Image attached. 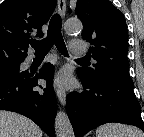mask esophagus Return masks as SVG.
Masks as SVG:
<instances>
[{"instance_id": "1", "label": "esophagus", "mask_w": 144, "mask_h": 137, "mask_svg": "<svg viewBox=\"0 0 144 137\" xmlns=\"http://www.w3.org/2000/svg\"><path fill=\"white\" fill-rule=\"evenodd\" d=\"M58 12L59 14L64 17L66 13V1L65 0H58ZM57 97L62 106L66 103V92L63 88L58 87L56 90Z\"/></svg>"}]
</instances>
